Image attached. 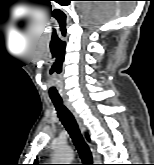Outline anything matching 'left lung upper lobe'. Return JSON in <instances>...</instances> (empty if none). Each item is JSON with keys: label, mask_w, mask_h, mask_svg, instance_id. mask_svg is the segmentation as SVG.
Instances as JSON below:
<instances>
[{"label": "left lung upper lobe", "mask_w": 154, "mask_h": 165, "mask_svg": "<svg viewBox=\"0 0 154 165\" xmlns=\"http://www.w3.org/2000/svg\"><path fill=\"white\" fill-rule=\"evenodd\" d=\"M34 165H38V163H37V159L34 161Z\"/></svg>", "instance_id": "1"}]
</instances>
